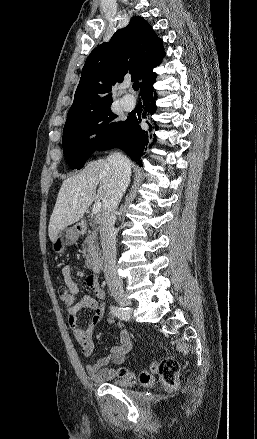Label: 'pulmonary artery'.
<instances>
[{
	"mask_svg": "<svg viewBox=\"0 0 257 439\" xmlns=\"http://www.w3.org/2000/svg\"><path fill=\"white\" fill-rule=\"evenodd\" d=\"M121 104L125 109L131 110L136 105V99L131 95H124L121 98Z\"/></svg>",
	"mask_w": 257,
	"mask_h": 439,
	"instance_id": "pulmonary-artery-1",
	"label": "pulmonary artery"
}]
</instances>
